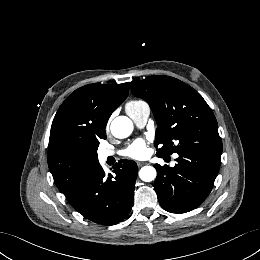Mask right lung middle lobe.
<instances>
[{
    "mask_svg": "<svg viewBox=\"0 0 260 260\" xmlns=\"http://www.w3.org/2000/svg\"><path fill=\"white\" fill-rule=\"evenodd\" d=\"M106 138V136L104 137V139ZM98 145H99V142L97 143V146H96V148L98 147ZM97 155V154H96Z\"/></svg>",
    "mask_w": 260,
    "mask_h": 260,
    "instance_id": "dd1d6c3e",
    "label": "right lung middle lobe"
}]
</instances>
